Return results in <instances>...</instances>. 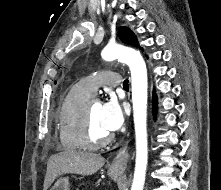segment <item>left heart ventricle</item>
<instances>
[{"label":"left heart ventricle","mask_w":221,"mask_h":190,"mask_svg":"<svg viewBox=\"0 0 221 190\" xmlns=\"http://www.w3.org/2000/svg\"><path fill=\"white\" fill-rule=\"evenodd\" d=\"M101 107L102 105L96 101H93L90 105L92 129L97 138H102L109 134L101 124Z\"/></svg>","instance_id":"b2bd125f"}]
</instances>
